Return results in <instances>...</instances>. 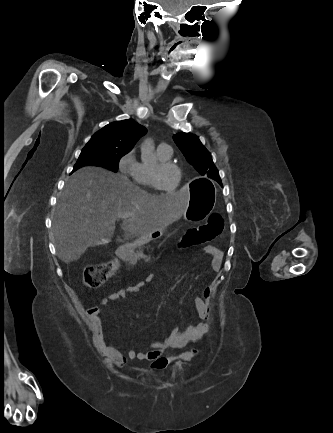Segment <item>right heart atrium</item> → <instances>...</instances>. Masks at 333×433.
I'll return each instance as SVG.
<instances>
[{
  "label": "right heart atrium",
  "mask_w": 333,
  "mask_h": 433,
  "mask_svg": "<svg viewBox=\"0 0 333 433\" xmlns=\"http://www.w3.org/2000/svg\"><path fill=\"white\" fill-rule=\"evenodd\" d=\"M139 164L136 159L135 150L131 149L119 159L118 169L122 175L135 179L138 174Z\"/></svg>",
  "instance_id": "right-heart-atrium-1"
}]
</instances>
